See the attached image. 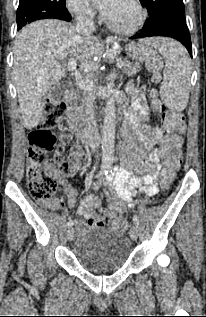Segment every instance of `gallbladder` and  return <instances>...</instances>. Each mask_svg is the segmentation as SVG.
Returning a JSON list of instances; mask_svg holds the SVG:
<instances>
[{
  "instance_id": "bac80fb5",
  "label": "gallbladder",
  "mask_w": 206,
  "mask_h": 317,
  "mask_svg": "<svg viewBox=\"0 0 206 317\" xmlns=\"http://www.w3.org/2000/svg\"><path fill=\"white\" fill-rule=\"evenodd\" d=\"M69 87L70 85L66 81L58 83L48 94L50 102L53 104H59L63 100Z\"/></svg>"
}]
</instances>
